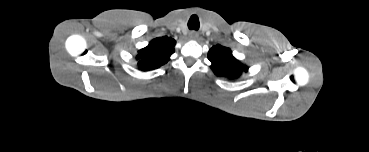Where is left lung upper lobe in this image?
I'll return each mask as SVG.
<instances>
[{"label":"left lung upper lobe","mask_w":369,"mask_h":152,"mask_svg":"<svg viewBox=\"0 0 369 152\" xmlns=\"http://www.w3.org/2000/svg\"><path fill=\"white\" fill-rule=\"evenodd\" d=\"M208 59L212 63L211 69L217 76L234 79L248 70L247 66L241 64L232 55L229 48L221 45H215L209 50Z\"/></svg>","instance_id":"5c2ea615"}]
</instances>
